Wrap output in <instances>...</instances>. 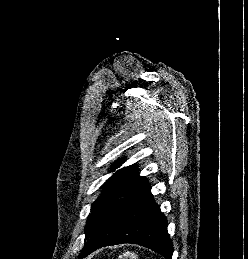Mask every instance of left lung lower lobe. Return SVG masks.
Wrapping results in <instances>:
<instances>
[{
	"instance_id": "1",
	"label": "left lung lower lobe",
	"mask_w": 248,
	"mask_h": 259,
	"mask_svg": "<svg viewBox=\"0 0 248 259\" xmlns=\"http://www.w3.org/2000/svg\"><path fill=\"white\" fill-rule=\"evenodd\" d=\"M123 243L139 244L172 259L167 220L151 193L135 200L100 227L88 239L79 259L98 248Z\"/></svg>"
}]
</instances>
